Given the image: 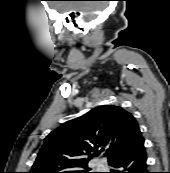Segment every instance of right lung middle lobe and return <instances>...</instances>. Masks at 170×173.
Listing matches in <instances>:
<instances>
[{
    "label": "right lung middle lobe",
    "instance_id": "right-lung-middle-lobe-1",
    "mask_svg": "<svg viewBox=\"0 0 170 173\" xmlns=\"http://www.w3.org/2000/svg\"><path fill=\"white\" fill-rule=\"evenodd\" d=\"M90 169H84V170H78V171H73L72 173H90Z\"/></svg>",
    "mask_w": 170,
    "mask_h": 173
}]
</instances>
